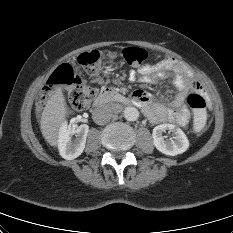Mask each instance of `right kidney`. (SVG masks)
I'll use <instances>...</instances> for the list:
<instances>
[{"label": "right kidney", "instance_id": "1", "mask_svg": "<svg viewBox=\"0 0 233 233\" xmlns=\"http://www.w3.org/2000/svg\"><path fill=\"white\" fill-rule=\"evenodd\" d=\"M89 126L86 124L79 127L68 128L64 122L59 130L58 148L60 155L66 160H73L79 157L86 144Z\"/></svg>", "mask_w": 233, "mask_h": 233}]
</instances>
